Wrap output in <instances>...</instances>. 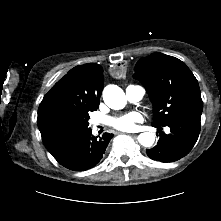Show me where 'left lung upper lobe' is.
<instances>
[{
    "instance_id": "obj_1",
    "label": "left lung upper lobe",
    "mask_w": 221,
    "mask_h": 221,
    "mask_svg": "<svg viewBox=\"0 0 221 221\" xmlns=\"http://www.w3.org/2000/svg\"><path fill=\"white\" fill-rule=\"evenodd\" d=\"M135 71L134 78L145 85L153 102V125L165 126L177 117L202 114L198 81L181 60L154 53L140 59Z\"/></svg>"
}]
</instances>
